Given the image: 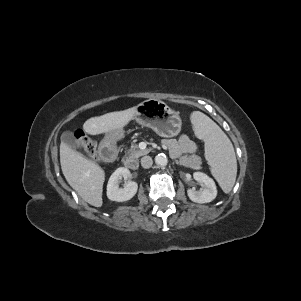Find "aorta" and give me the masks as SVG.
Segmentation results:
<instances>
[{
  "label": "aorta",
  "instance_id": "1",
  "mask_svg": "<svg viewBox=\"0 0 301 301\" xmlns=\"http://www.w3.org/2000/svg\"><path fill=\"white\" fill-rule=\"evenodd\" d=\"M155 163L159 166H166L168 163L167 156L163 153L158 154L155 157Z\"/></svg>",
  "mask_w": 301,
  "mask_h": 301
}]
</instances>
